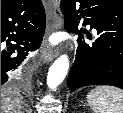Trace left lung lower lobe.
Returning <instances> with one entry per match:
<instances>
[{
  "instance_id": "0a47b994",
  "label": "left lung lower lobe",
  "mask_w": 123,
  "mask_h": 113,
  "mask_svg": "<svg viewBox=\"0 0 123 113\" xmlns=\"http://www.w3.org/2000/svg\"><path fill=\"white\" fill-rule=\"evenodd\" d=\"M60 7L65 15V29L79 34L76 58L67 81L69 90L88 85L123 89V7L111 0H61ZM81 17L83 24L97 30L98 38L92 45L81 40Z\"/></svg>"
}]
</instances>
